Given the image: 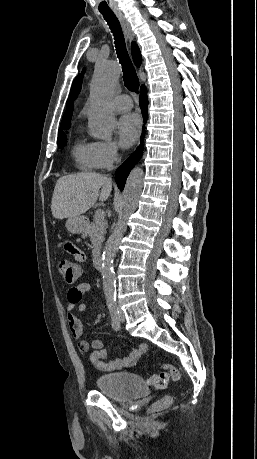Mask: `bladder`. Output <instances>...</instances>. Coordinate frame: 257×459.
Returning <instances> with one entry per match:
<instances>
[{
    "mask_svg": "<svg viewBox=\"0 0 257 459\" xmlns=\"http://www.w3.org/2000/svg\"><path fill=\"white\" fill-rule=\"evenodd\" d=\"M98 391L111 399L129 402L148 394L149 390L143 379L132 373H111L95 379Z\"/></svg>",
    "mask_w": 257,
    "mask_h": 459,
    "instance_id": "bladder-1",
    "label": "bladder"
}]
</instances>
